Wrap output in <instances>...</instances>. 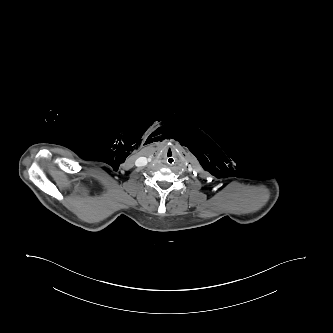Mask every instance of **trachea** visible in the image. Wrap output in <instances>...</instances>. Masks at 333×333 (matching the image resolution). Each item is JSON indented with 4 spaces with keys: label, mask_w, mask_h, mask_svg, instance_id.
<instances>
[{
    "label": "trachea",
    "mask_w": 333,
    "mask_h": 333,
    "mask_svg": "<svg viewBox=\"0 0 333 333\" xmlns=\"http://www.w3.org/2000/svg\"><path fill=\"white\" fill-rule=\"evenodd\" d=\"M164 161H165L168 165H174V164L178 161V156H177L174 152H168V153L164 156Z\"/></svg>",
    "instance_id": "obj_1"
}]
</instances>
